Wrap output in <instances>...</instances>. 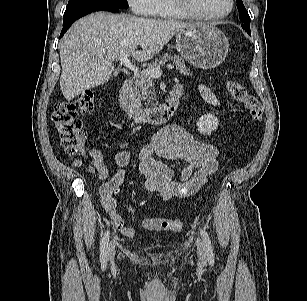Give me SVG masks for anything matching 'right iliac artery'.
<instances>
[{"label": "right iliac artery", "instance_id": "1", "mask_svg": "<svg viewBox=\"0 0 307 301\" xmlns=\"http://www.w3.org/2000/svg\"><path fill=\"white\" fill-rule=\"evenodd\" d=\"M110 232L107 230L100 244V261L102 264L107 262V248L109 243Z\"/></svg>", "mask_w": 307, "mask_h": 301}]
</instances>
